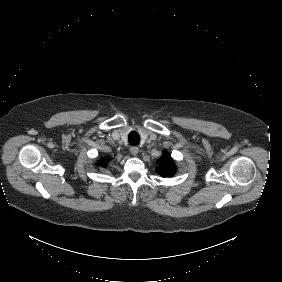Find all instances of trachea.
Wrapping results in <instances>:
<instances>
[{
	"instance_id": "3493384b",
	"label": "trachea",
	"mask_w": 282,
	"mask_h": 282,
	"mask_svg": "<svg viewBox=\"0 0 282 282\" xmlns=\"http://www.w3.org/2000/svg\"><path fill=\"white\" fill-rule=\"evenodd\" d=\"M128 142L132 146H137L140 142V136L137 132L132 131L128 135Z\"/></svg>"
}]
</instances>
